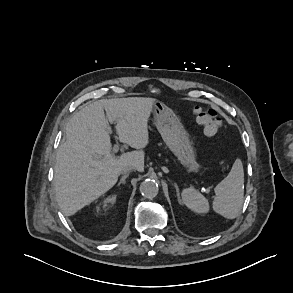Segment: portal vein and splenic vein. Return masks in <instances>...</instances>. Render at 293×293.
<instances>
[{"mask_svg":"<svg viewBox=\"0 0 293 293\" xmlns=\"http://www.w3.org/2000/svg\"><path fill=\"white\" fill-rule=\"evenodd\" d=\"M119 150V146L118 145H114L113 150H112V154L114 155L115 153H117Z\"/></svg>","mask_w":293,"mask_h":293,"instance_id":"portal-vein-and-splenic-vein-1","label":"portal vein and splenic vein"}]
</instances>
